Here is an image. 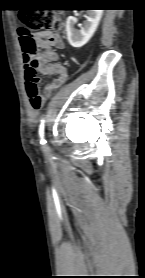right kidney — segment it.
I'll use <instances>...</instances> for the list:
<instances>
[{
	"mask_svg": "<svg viewBox=\"0 0 145 278\" xmlns=\"http://www.w3.org/2000/svg\"><path fill=\"white\" fill-rule=\"evenodd\" d=\"M103 10H88L86 21L80 27L75 29L77 19L74 16H69L66 21L67 39L70 45L74 48L84 46L95 33L99 21L102 17Z\"/></svg>",
	"mask_w": 145,
	"mask_h": 278,
	"instance_id": "obj_1",
	"label": "right kidney"
}]
</instances>
